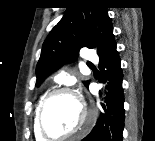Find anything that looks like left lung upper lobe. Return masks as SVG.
Wrapping results in <instances>:
<instances>
[{
    "mask_svg": "<svg viewBox=\"0 0 155 141\" xmlns=\"http://www.w3.org/2000/svg\"><path fill=\"white\" fill-rule=\"evenodd\" d=\"M103 0H72L63 18L45 39L36 66V85L64 63L75 60L82 47L100 53L113 35V25ZM86 86L89 81H84Z\"/></svg>",
    "mask_w": 155,
    "mask_h": 141,
    "instance_id": "left-lung-upper-lobe-1",
    "label": "left lung upper lobe"
}]
</instances>
